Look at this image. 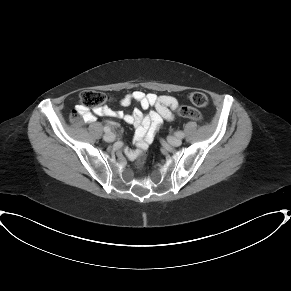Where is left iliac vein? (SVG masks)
<instances>
[{
	"label": "left iliac vein",
	"mask_w": 291,
	"mask_h": 291,
	"mask_svg": "<svg viewBox=\"0 0 291 291\" xmlns=\"http://www.w3.org/2000/svg\"><path fill=\"white\" fill-rule=\"evenodd\" d=\"M167 141L169 144H171L172 146H179L181 145L182 141L180 138L174 137V136H169L167 138Z\"/></svg>",
	"instance_id": "1"
}]
</instances>
